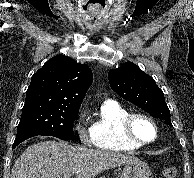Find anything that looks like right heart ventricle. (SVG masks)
Instances as JSON below:
<instances>
[{
    "instance_id": "obj_1",
    "label": "right heart ventricle",
    "mask_w": 194,
    "mask_h": 178,
    "mask_svg": "<svg viewBox=\"0 0 194 178\" xmlns=\"http://www.w3.org/2000/svg\"><path fill=\"white\" fill-rule=\"evenodd\" d=\"M129 113L125 107L116 101H104L98 117L91 126L93 145L99 149L111 151L139 149L140 146L125 140L121 134V122Z\"/></svg>"
}]
</instances>
